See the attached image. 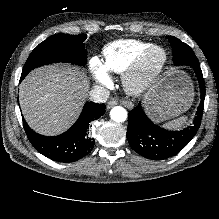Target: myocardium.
Segmentation results:
<instances>
[{
  "instance_id": "myocardium-1",
  "label": "myocardium",
  "mask_w": 219,
  "mask_h": 219,
  "mask_svg": "<svg viewBox=\"0 0 219 219\" xmlns=\"http://www.w3.org/2000/svg\"><path fill=\"white\" fill-rule=\"evenodd\" d=\"M167 61L166 50L159 45H153L126 70L127 89L134 94L146 91L162 72Z\"/></svg>"
}]
</instances>
